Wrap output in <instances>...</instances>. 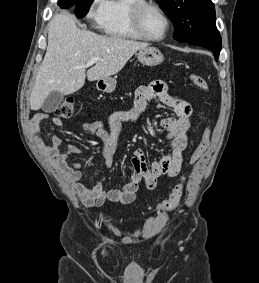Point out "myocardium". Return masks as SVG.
Masks as SVG:
<instances>
[{"label":"myocardium","instance_id":"1","mask_svg":"<svg viewBox=\"0 0 259 283\" xmlns=\"http://www.w3.org/2000/svg\"><path fill=\"white\" fill-rule=\"evenodd\" d=\"M154 9L158 11L162 17L166 21L167 29L165 34L160 38H154L147 34L145 27H144V14L147 10ZM131 19L133 23V27L136 30V32L145 40L151 41V42H161L164 41L172 28V22L167 14V12L164 10L163 7H161L159 4L150 2V1H142L137 2L131 7Z\"/></svg>","mask_w":259,"mask_h":283}]
</instances>
